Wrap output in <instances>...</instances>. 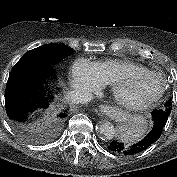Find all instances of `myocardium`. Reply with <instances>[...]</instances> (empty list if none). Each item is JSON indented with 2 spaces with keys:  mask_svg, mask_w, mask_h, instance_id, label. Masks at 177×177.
<instances>
[{
  "mask_svg": "<svg viewBox=\"0 0 177 177\" xmlns=\"http://www.w3.org/2000/svg\"><path fill=\"white\" fill-rule=\"evenodd\" d=\"M141 76H150L159 79L161 83V89L158 92V94H156L154 97L148 100H143L139 102H128L124 100L121 96V88L124 82L129 78H137ZM165 89H166V85L162 75L154 71L146 70V71L130 72V73L123 74L122 76L118 77L116 81L112 84L111 91L114 100L119 106L127 110L139 111V110L146 109L151 105L155 104L156 102H158L161 99V97L164 95Z\"/></svg>",
  "mask_w": 177,
  "mask_h": 177,
  "instance_id": "f54148a6",
  "label": "myocardium"
}]
</instances>
